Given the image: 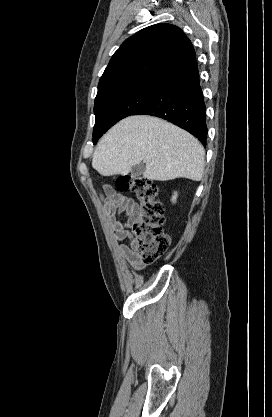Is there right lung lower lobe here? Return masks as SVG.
<instances>
[{
    "label": "right lung lower lobe",
    "mask_w": 272,
    "mask_h": 417,
    "mask_svg": "<svg viewBox=\"0 0 272 417\" xmlns=\"http://www.w3.org/2000/svg\"><path fill=\"white\" fill-rule=\"evenodd\" d=\"M141 114L166 119L193 134L205 145L206 113L196 60L167 79L133 115Z\"/></svg>",
    "instance_id": "right-lung-lower-lobe-1"
}]
</instances>
